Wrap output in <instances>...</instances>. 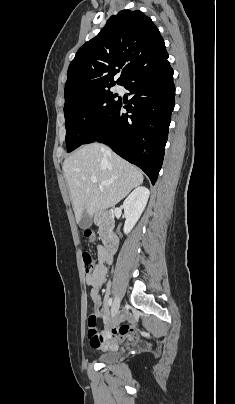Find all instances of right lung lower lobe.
I'll list each match as a JSON object with an SVG mask.
<instances>
[{
    "mask_svg": "<svg viewBox=\"0 0 235 404\" xmlns=\"http://www.w3.org/2000/svg\"><path fill=\"white\" fill-rule=\"evenodd\" d=\"M167 59L168 56L129 76L121 85L133 97L127 105L119 100L83 143L109 145L119 156L140 167L152 184L162 166L175 102L173 69Z\"/></svg>",
    "mask_w": 235,
    "mask_h": 404,
    "instance_id": "obj_1",
    "label": "right lung lower lobe"
}]
</instances>
